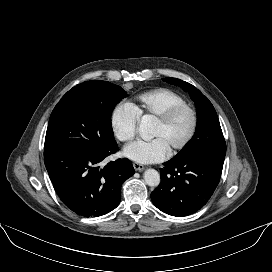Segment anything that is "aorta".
I'll list each match as a JSON object with an SVG mask.
<instances>
[{
	"mask_svg": "<svg viewBox=\"0 0 272 272\" xmlns=\"http://www.w3.org/2000/svg\"><path fill=\"white\" fill-rule=\"evenodd\" d=\"M139 132L144 140H150L153 138L152 124L147 119H142ZM145 183L151 187H156L160 184V174L154 169H147L144 172Z\"/></svg>",
	"mask_w": 272,
	"mask_h": 272,
	"instance_id": "obj_1",
	"label": "aorta"
}]
</instances>
